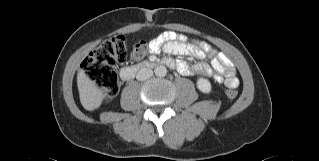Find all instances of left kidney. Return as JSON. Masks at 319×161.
I'll use <instances>...</instances> for the list:
<instances>
[{
    "label": "left kidney",
    "instance_id": "1",
    "mask_svg": "<svg viewBox=\"0 0 319 161\" xmlns=\"http://www.w3.org/2000/svg\"><path fill=\"white\" fill-rule=\"evenodd\" d=\"M197 88L203 93L211 92V84L209 80L202 77L197 80Z\"/></svg>",
    "mask_w": 319,
    "mask_h": 161
}]
</instances>
